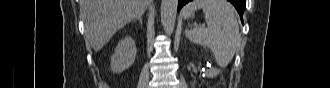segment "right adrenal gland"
<instances>
[{
	"label": "right adrenal gland",
	"instance_id": "obj_1",
	"mask_svg": "<svg viewBox=\"0 0 330 88\" xmlns=\"http://www.w3.org/2000/svg\"><path fill=\"white\" fill-rule=\"evenodd\" d=\"M138 20L142 24V16H139L138 18L134 19V21Z\"/></svg>",
	"mask_w": 330,
	"mask_h": 88
}]
</instances>
